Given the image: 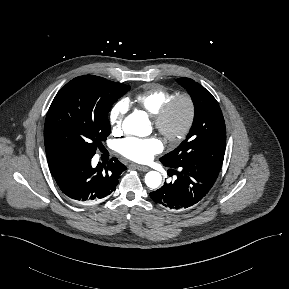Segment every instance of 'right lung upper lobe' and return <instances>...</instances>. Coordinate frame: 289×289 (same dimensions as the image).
<instances>
[{"instance_id": "1", "label": "right lung upper lobe", "mask_w": 289, "mask_h": 289, "mask_svg": "<svg viewBox=\"0 0 289 289\" xmlns=\"http://www.w3.org/2000/svg\"><path fill=\"white\" fill-rule=\"evenodd\" d=\"M53 164H54V162H50V163H49V166H50V165H53Z\"/></svg>"}]
</instances>
